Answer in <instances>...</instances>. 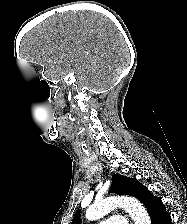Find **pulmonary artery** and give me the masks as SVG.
Here are the masks:
<instances>
[{
	"mask_svg": "<svg viewBox=\"0 0 187 224\" xmlns=\"http://www.w3.org/2000/svg\"><path fill=\"white\" fill-rule=\"evenodd\" d=\"M98 224H125V223L117 217H111L105 221L98 223Z\"/></svg>",
	"mask_w": 187,
	"mask_h": 224,
	"instance_id": "e3ab8cb5",
	"label": "pulmonary artery"
}]
</instances>
